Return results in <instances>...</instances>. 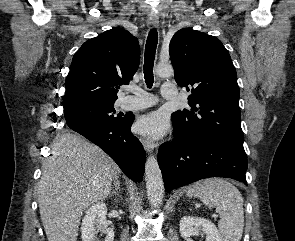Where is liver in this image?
I'll return each instance as SVG.
<instances>
[{
    "instance_id": "obj_1",
    "label": "liver",
    "mask_w": 295,
    "mask_h": 241,
    "mask_svg": "<svg viewBox=\"0 0 295 241\" xmlns=\"http://www.w3.org/2000/svg\"><path fill=\"white\" fill-rule=\"evenodd\" d=\"M116 163L99 147L72 133L55 140L37 186L48 241H76L83 211L105 200Z\"/></svg>"
}]
</instances>
